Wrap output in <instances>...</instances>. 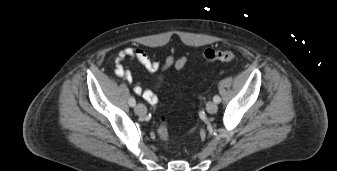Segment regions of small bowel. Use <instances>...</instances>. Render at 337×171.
<instances>
[{"mask_svg": "<svg viewBox=\"0 0 337 171\" xmlns=\"http://www.w3.org/2000/svg\"><path fill=\"white\" fill-rule=\"evenodd\" d=\"M136 60L150 73H163L170 68L176 70H182L188 62L187 57H181L176 59L173 55H168L164 62L161 63L157 58L151 57L144 50L138 47H126L122 49L115 61V75L129 83L133 81V74L127 67L125 62L127 60ZM134 92L142 96L147 102L154 104L158 98L155 92L151 89L143 88L140 84H137L134 88Z\"/></svg>", "mask_w": 337, "mask_h": 171, "instance_id": "1", "label": "small bowel"}]
</instances>
